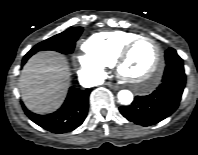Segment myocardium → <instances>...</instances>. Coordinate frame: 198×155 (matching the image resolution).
Listing matches in <instances>:
<instances>
[{
    "instance_id": "obj_1",
    "label": "myocardium",
    "mask_w": 198,
    "mask_h": 155,
    "mask_svg": "<svg viewBox=\"0 0 198 155\" xmlns=\"http://www.w3.org/2000/svg\"><path fill=\"white\" fill-rule=\"evenodd\" d=\"M147 40L150 41L154 44L155 49H156V60L154 67L151 71V73L148 75L143 80H134L127 75H125L122 71V65L124 61L127 59L129 56L131 50L133 47L139 43L140 41ZM163 63H164V54L161 46L159 43L152 37L146 36V35H139L130 41H128L119 51V53L116 55L114 59V67L117 72L118 77L125 82L126 84L130 85L133 89L137 91H149L152 88L156 86L158 83L160 76H161V71L163 68Z\"/></svg>"
}]
</instances>
